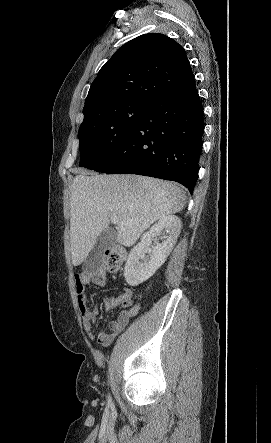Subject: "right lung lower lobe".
Instances as JSON below:
<instances>
[{
  "mask_svg": "<svg viewBox=\"0 0 271 443\" xmlns=\"http://www.w3.org/2000/svg\"><path fill=\"white\" fill-rule=\"evenodd\" d=\"M203 128V107L194 82L153 100L111 158L95 171L172 180L192 193Z\"/></svg>",
  "mask_w": 271,
  "mask_h": 443,
  "instance_id": "1",
  "label": "right lung lower lobe"
}]
</instances>
